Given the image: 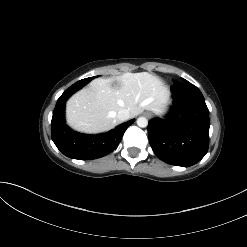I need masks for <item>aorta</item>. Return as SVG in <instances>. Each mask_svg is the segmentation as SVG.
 <instances>
[{
  "instance_id": "obj_1",
  "label": "aorta",
  "mask_w": 247,
  "mask_h": 247,
  "mask_svg": "<svg viewBox=\"0 0 247 247\" xmlns=\"http://www.w3.org/2000/svg\"><path fill=\"white\" fill-rule=\"evenodd\" d=\"M137 125L141 128H144L148 125V120L145 117H139L137 119Z\"/></svg>"
}]
</instances>
